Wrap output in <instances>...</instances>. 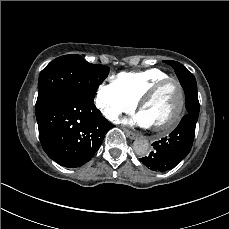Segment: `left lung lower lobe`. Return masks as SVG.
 I'll list each match as a JSON object with an SVG mask.
<instances>
[{
  "label": "left lung lower lobe",
  "instance_id": "0a47b994",
  "mask_svg": "<svg viewBox=\"0 0 229 229\" xmlns=\"http://www.w3.org/2000/svg\"><path fill=\"white\" fill-rule=\"evenodd\" d=\"M186 98L187 114L179 125L169 134L152 144L154 151L148 157L141 158V162L150 170L165 172L180 163L190 152L196 122L199 115V101L197 85L183 87Z\"/></svg>",
  "mask_w": 229,
  "mask_h": 229
}]
</instances>
